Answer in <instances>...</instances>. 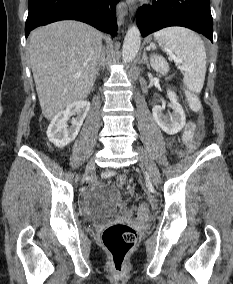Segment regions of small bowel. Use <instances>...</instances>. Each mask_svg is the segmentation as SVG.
Masks as SVG:
<instances>
[{
  "instance_id": "c3829d8e",
  "label": "small bowel",
  "mask_w": 233,
  "mask_h": 284,
  "mask_svg": "<svg viewBox=\"0 0 233 284\" xmlns=\"http://www.w3.org/2000/svg\"><path fill=\"white\" fill-rule=\"evenodd\" d=\"M189 125H195L194 123H192V122H190V123H188Z\"/></svg>"
}]
</instances>
